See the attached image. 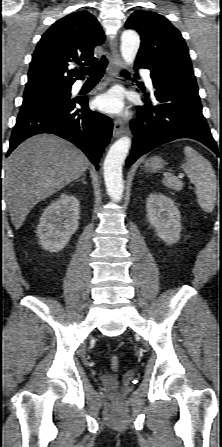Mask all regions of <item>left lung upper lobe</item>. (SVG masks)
<instances>
[{
  "label": "left lung upper lobe",
  "instance_id": "obj_1",
  "mask_svg": "<svg viewBox=\"0 0 222 447\" xmlns=\"http://www.w3.org/2000/svg\"><path fill=\"white\" fill-rule=\"evenodd\" d=\"M125 27L141 35L136 62L144 63L153 75L199 96L186 43L167 18L138 10L127 19Z\"/></svg>",
  "mask_w": 222,
  "mask_h": 447
}]
</instances>
